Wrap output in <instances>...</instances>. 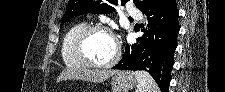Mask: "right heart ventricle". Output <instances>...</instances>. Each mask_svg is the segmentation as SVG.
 <instances>
[{"label":"right heart ventricle","instance_id":"1","mask_svg":"<svg viewBox=\"0 0 225 92\" xmlns=\"http://www.w3.org/2000/svg\"><path fill=\"white\" fill-rule=\"evenodd\" d=\"M87 26L85 21L71 25L64 33L61 44V58L66 66L80 69L83 66L79 63L73 51V42L77 34Z\"/></svg>","mask_w":225,"mask_h":92}]
</instances>
